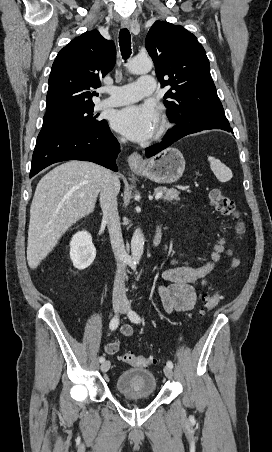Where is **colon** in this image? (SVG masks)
Returning <instances> with one entry per match:
<instances>
[{
  "label": "colon",
  "mask_w": 272,
  "mask_h": 452,
  "mask_svg": "<svg viewBox=\"0 0 272 452\" xmlns=\"http://www.w3.org/2000/svg\"><path fill=\"white\" fill-rule=\"evenodd\" d=\"M209 200L212 207L225 216H231L239 219V212L236 209L234 201L225 195L219 189H212L209 192ZM237 233L242 235L245 231V225L242 221H239L236 227ZM220 299V293L215 292L213 294L205 293L202 295V302L204 307L201 309V314L206 315L210 312L217 304ZM122 361L126 364L135 367H147L155 363V359L152 357H147L143 355H138L134 353H125L121 357Z\"/></svg>",
  "instance_id": "1"
}]
</instances>
